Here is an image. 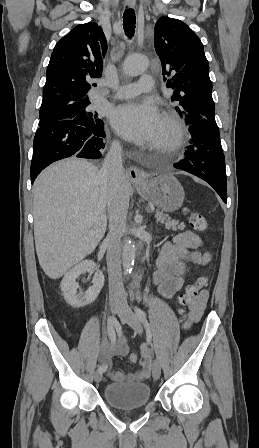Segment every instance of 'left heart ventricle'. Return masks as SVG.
<instances>
[{
  "label": "left heart ventricle",
  "mask_w": 259,
  "mask_h": 448,
  "mask_svg": "<svg viewBox=\"0 0 259 448\" xmlns=\"http://www.w3.org/2000/svg\"><path fill=\"white\" fill-rule=\"evenodd\" d=\"M169 137V130L167 126L161 122V125L157 132L152 136V144L154 147H161Z\"/></svg>",
  "instance_id": "b2bd125f"
}]
</instances>
